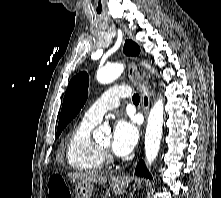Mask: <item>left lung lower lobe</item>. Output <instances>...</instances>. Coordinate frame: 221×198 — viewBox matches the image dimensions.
<instances>
[{
    "label": "left lung lower lobe",
    "mask_w": 221,
    "mask_h": 198,
    "mask_svg": "<svg viewBox=\"0 0 221 198\" xmlns=\"http://www.w3.org/2000/svg\"><path fill=\"white\" fill-rule=\"evenodd\" d=\"M145 104H147V99H145ZM135 173H136L138 176L151 178V175H150V173L148 172V170L146 169L145 164H144V162H143L142 160L139 161V163H138V165H137V168H136V170H135Z\"/></svg>",
    "instance_id": "0a47b994"
}]
</instances>
